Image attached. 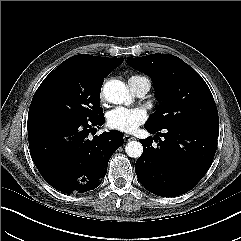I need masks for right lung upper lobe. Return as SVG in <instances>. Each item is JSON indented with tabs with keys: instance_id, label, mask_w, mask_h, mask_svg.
I'll return each mask as SVG.
<instances>
[{
	"instance_id": "1",
	"label": "right lung upper lobe",
	"mask_w": 241,
	"mask_h": 241,
	"mask_svg": "<svg viewBox=\"0 0 241 241\" xmlns=\"http://www.w3.org/2000/svg\"><path fill=\"white\" fill-rule=\"evenodd\" d=\"M73 63L78 74L92 80L103 81L124 59L105 58L89 54H78L67 59Z\"/></svg>"
}]
</instances>
